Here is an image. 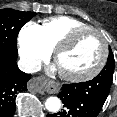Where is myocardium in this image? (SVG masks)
<instances>
[{"label": "myocardium", "instance_id": "1", "mask_svg": "<svg viewBox=\"0 0 117 117\" xmlns=\"http://www.w3.org/2000/svg\"><path fill=\"white\" fill-rule=\"evenodd\" d=\"M88 32L94 33L100 37L101 42H102V46H103V52H102L101 58H100L99 62L91 70H89L85 73H82V74L73 75V74L63 73L60 71V75L62 76V78L67 80V81L84 82V81L90 80V79L94 78L95 76H97L101 72V70L104 68V66L107 62L108 55H109V46H108V42L106 40V37L99 29H96V28L91 27V26L72 30L67 35H65L54 47L53 57H54L55 62L57 63L59 55L65 49L70 47L73 44V42L80 35H82L84 33H88Z\"/></svg>", "mask_w": 117, "mask_h": 117}]
</instances>
